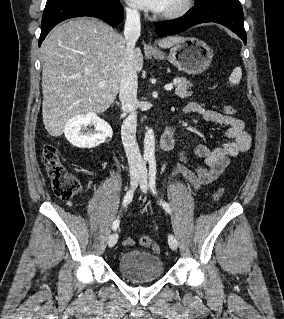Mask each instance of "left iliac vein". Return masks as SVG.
Wrapping results in <instances>:
<instances>
[{"mask_svg":"<svg viewBox=\"0 0 284 319\" xmlns=\"http://www.w3.org/2000/svg\"><path fill=\"white\" fill-rule=\"evenodd\" d=\"M139 183L141 190L146 193L148 190V183H147V171L145 168L142 169L140 177H139ZM168 244L172 250H176L178 247V241L176 237L172 234L168 236Z\"/></svg>","mask_w":284,"mask_h":319,"instance_id":"left-iliac-vein-1","label":"left iliac vein"}]
</instances>
